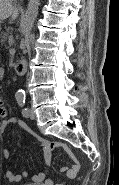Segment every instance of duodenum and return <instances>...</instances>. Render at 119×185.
Returning <instances> with one entry per match:
<instances>
[{
  "label": "duodenum",
  "instance_id": "duodenum-1",
  "mask_svg": "<svg viewBox=\"0 0 119 185\" xmlns=\"http://www.w3.org/2000/svg\"><path fill=\"white\" fill-rule=\"evenodd\" d=\"M15 71L18 75L23 76L27 72V62L24 59H20L15 64Z\"/></svg>",
  "mask_w": 119,
  "mask_h": 185
}]
</instances>
